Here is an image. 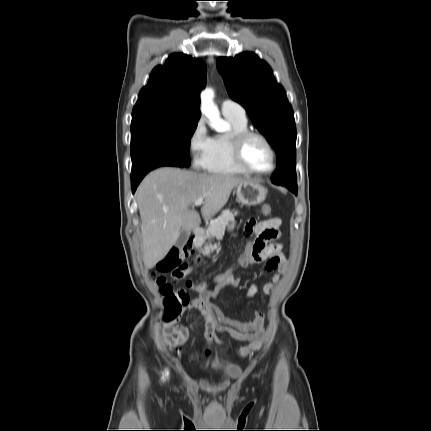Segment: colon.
I'll return each mask as SVG.
<instances>
[{
    "instance_id": "1",
    "label": "colon",
    "mask_w": 431,
    "mask_h": 431,
    "mask_svg": "<svg viewBox=\"0 0 431 431\" xmlns=\"http://www.w3.org/2000/svg\"><path fill=\"white\" fill-rule=\"evenodd\" d=\"M263 213L269 216L272 212L270 205L266 204L262 208ZM272 219V218H270ZM268 219V220H270ZM253 243L251 239L244 242V250H242L235 261H233V266L237 269L243 268L244 260H247L253 255L252 252ZM190 254V249L188 247L184 248H173L168 254L158 263V270L164 273H171V275L176 278H182L189 271V266L186 263V259ZM233 266L229 265L231 268V276H233ZM223 271V269H222ZM230 276V277H231ZM215 281V279L213 278ZM226 279V281H228ZM156 282L161 295L163 296L164 306L166 310L167 319H174L182 310L183 312H188V308L192 309L194 306L196 308L206 307V303H211V298L198 297V301L194 303H189V297L184 289L176 288L172 283L166 280V278L158 276ZM188 306V307H186Z\"/></svg>"
}]
</instances>
